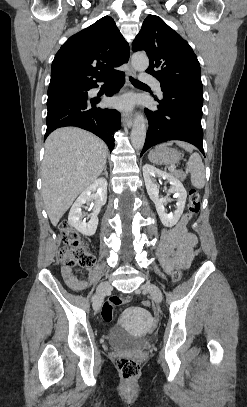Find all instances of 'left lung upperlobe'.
Instances as JSON below:
<instances>
[{
  "instance_id": "left-lung-upper-lobe-1",
  "label": "left lung upper lobe",
  "mask_w": 247,
  "mask_h": 407,
  "mask_svg": "<svg viewBox=\"0 0 247 407\" xmlns=\"http://www.w3.org/2000/svg\"><path fill=\"white\" fill-rule=\"evenodd\" d=\"M134 52L146 51V70L164 88L203 92L200 64L190 45L160 17L148 15L132 44Z\"/></svg>"
}]
</instances>
